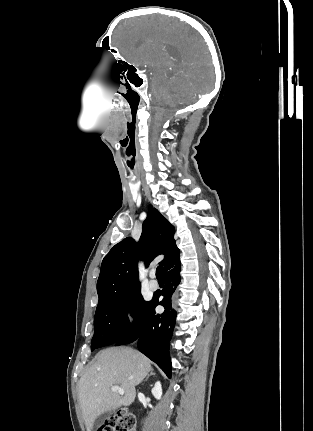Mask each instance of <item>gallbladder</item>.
<instances>
[{
    "mask_svg": "<svg viewBox=\"0 0 313 431\" xmlns=\"http://www.w3.org/2000/svg\"><path fill=\"white\" fill-rule=\"evenodd\" d=\"M102 419H103V417H102V416H100V417L98 418V422H101V421H102Z\"/></svg>",
    "mask_w": 313,
    "mask_h": 431,
    "instance_id": "obj_1",
    "label": "gallbladder"
}]
</instances>
